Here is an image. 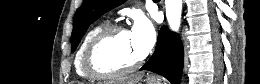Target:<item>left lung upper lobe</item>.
I'll return each instance as SVG.
<instances>
[{
    "label": "left lung upper lobe",
    "mask_w": 260,
    "mask_h": 84,
    "mask_svg": "<svg viewBox=\"0 0 260 84\" xmlns=\"http://www.w3.org/2000/svg\"><path fill=\"white\" fill-rule=\"evenodd\" d=\"M126 0H83L74 16V28L71 36L72 52L77 48L89 25L102 14L119 6Z\"/></svg>",
    "instance_id": "obj_1"
}]
</instances>
